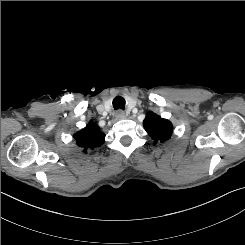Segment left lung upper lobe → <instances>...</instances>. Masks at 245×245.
I'll list each match as a JSON object with an SVG mask.
<instances>
[{
    "label": "left lung upper lobe",
    "mask_w": 245,
    "mask_h": 245,
    "mask_svg": "<svg viewBox=\"0 0 245 245\" xmlns=\"http://www.w3.org/2000/svg\"><path fill=\"white\" fill-rule=\"evenodd\" d=\"M143 126L154 143L167 141L173 131V125L167 119H163L153 112H148L144 119Z\"/></svg>",
    "instance_id": "obj_1"
}]
</instances>
